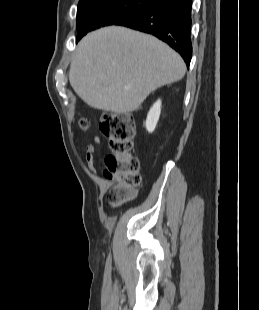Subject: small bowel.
<instances>
[{
    "label": "small bowel",
    "mask_w": 259,
    "mask_h": 310,
    "mask_svg": "<svg viewBox=\"0 0 259 310\" xmlns=\"http://www.w3.org/2000/svg\"><path fill=\"white\" fill-rule=\"evenodd\" d=\"M102 144H103L102 138L97 136L94 138V144H90L86 147L85 159H86L89 170L92 172H95L96 146H99Z\"/></svg>",
    "instance_id": "c3829d8e"
}]
</instances>
